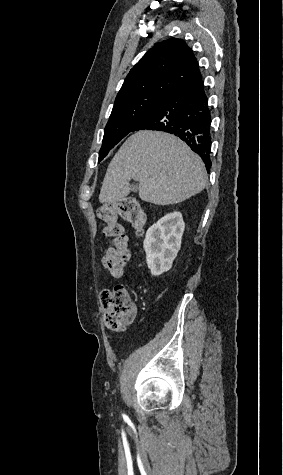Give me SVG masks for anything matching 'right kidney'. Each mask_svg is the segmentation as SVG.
<instances>
[{
	"instance_id": "1",
	"label": "right kidney",
	"mask_w": 283,
	"mask_h": 475,
	"mask_svg": "<svg viewBox=\"0 0 283 475\" xmlns=\"http://www.w3.org/2000/svg\"><path fill=\"white\" fill-rule=\"evenodd\" d=\"M185 224L181 212L166 214L150 226L143 241L147 265L152 275L169 271L181 247Z\"/></svg>"
}]
</instances>
